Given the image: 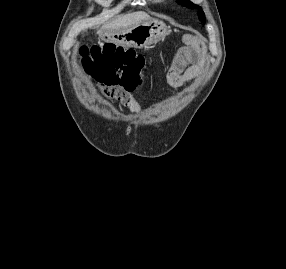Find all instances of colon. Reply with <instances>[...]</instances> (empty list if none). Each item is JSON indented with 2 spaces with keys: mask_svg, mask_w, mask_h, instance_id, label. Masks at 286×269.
I'll use <instances>...</instances> for the list:
<instances>
[{
  "mask_svg": "<svg viewBox=\"0 0 286 269\" xmlns=\"http://www.w3.org/2000/svg\"><path fill=\"white\" fill-rule=\"evenodd\" d=\"M80 56L83 68L104 85L107 97L117 88L130 91L142 82L145 60L134 49L112 43L82 45Z\"/></svg>",
  "mask_w": 286,
  "mask_h": 269,
  "instance_id": "colon-1",
  "label": "colon"
}]
</instances>
